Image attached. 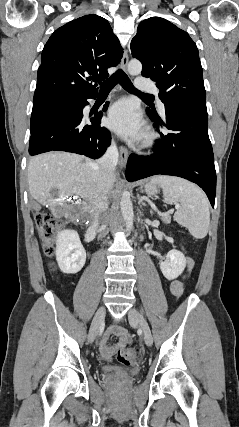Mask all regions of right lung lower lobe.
Returning a JSON list of instances; mask_svg holds the SVG:
<instances>
[{
  "label": "right lung lower lobe",
  "instance_id": "98d812e1",
  "mask_svg": "<svg viewBox=\"0 0 239 427\" xmlns=\"http://www.w3.org/2000/svg\"><path fill=\"white\" fill-rule=\"evenodd\" d=\"M96 95L67 96L59 107L45 115L31 132L29 154L54 150L93 159L102 156L111 143L110 132L100 125L102 112L91 118L83 117L87 99H95Z\"/></svg>",
  "mask_w": 239,
  "mask_h": 427
}]
</instances>
